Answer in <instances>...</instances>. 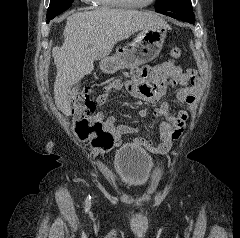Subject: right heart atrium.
<instances>
[{
  "label": "right heart atrium",
  "instance_id": "d8ad5b80",
  "mask_svg": "<svg viewBox=\"0 0 240 238\" xmlns=\"http://www.w3.org/2000/svg\"><path fill=\"white\" fill-rule=\"evenodd\" d=\"M83 2H85V3H93V2H95V0H82Z\"/></svg>",
  "mask_w": 240,
  "mask_h": 238
}]
</instances>
